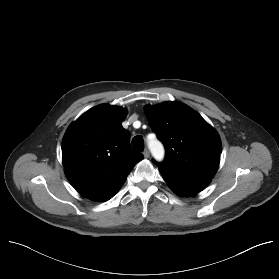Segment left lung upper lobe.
<instances>
[{
  "mask_svg": "<svg viewBox=\"0 0 279 279\" xmlns=\"http://www.w3.org/2000/svg\"><path fill=\"white\" fill-rule=\"evenodd\" d=\"M145 113L166 149L165 160L158 167L184 177L211 181L221 153L215 129L193 109L178 102L148 105Z\"/></svg>",
  "mask_w": 279,
  "mask_h": 279,
  "instance_id": "5c2ea615",
  "label": "left lung upper lobe"
}]
</instances>
